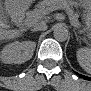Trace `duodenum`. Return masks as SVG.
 Here are the masks:
<instances>
[{
  "label": "duodenum",
  "instance_id": "obj_1",
  "mask_svg": "<svg viewBox=\"0 0 91 91\" xmlns=\"http://www.w3.org/2000/svg\"><path fill=\"white\" fill-rule=\"evenodd\" d=\"M15 20H16V22H17V24L19 26H25V21H24V19H23L21 14H16L15 15Z\"/></svg>",
  "mask_w": 91,
  "mask_h": 91
}]
</instances>
